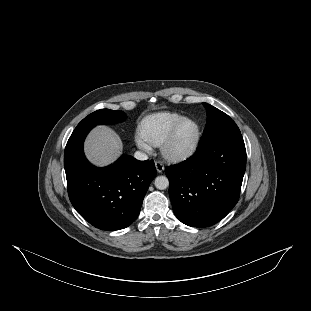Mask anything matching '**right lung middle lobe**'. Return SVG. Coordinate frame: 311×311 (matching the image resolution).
Here are the masks:
<instances>
[{"instance_id": "obj_1", "label": "right lung middle lobe", "mask_w": 311, "mask_h": 311, "mask_svg": "<svg viewBox=\"0 0 311 311\" xmlns=\"http://www.w3.org/2000/svg\"><path fill=\"white\" fill-rule=\"evenodd\" d=\"M126 119V115L122 111H114L109 109H101L89 114L85 117L75 129L85 127H95L101 124H114L122 122Z\"/></svg>"}]
</instances>
